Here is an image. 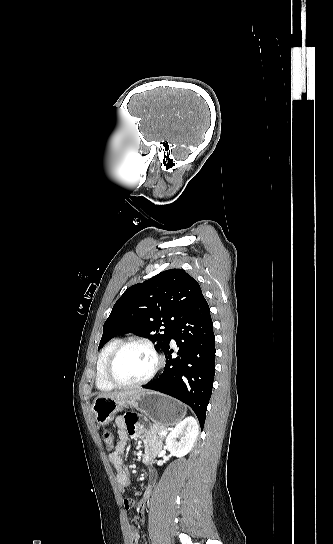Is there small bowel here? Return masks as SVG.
<instances>
[{"mask_svg": "<svg viewBox=\"0 0 333 544\" xmlns=\"http://www.w3.org/2000/svg\"><path fill=\"white\" fill-rule=\"evenodd\" d=\"M118 427V439L115 449L109 454L108 459L112 467L116 472V480L120 489H125L130 484L129 471L126 469L123 463V453L126 447V443L131 438H139L144 434V443L147 446V452L145 454V462H150L158 451V441L147 432L143 425L140 423L137 417L120 416L116 420ZM156 478V473L152 471L150 473V482L153 483ZM150 493V488H147L140 502L138 503L136 510L141 520L144 518L145 506ZM124 507L130 509L134 506L131 499L125 498L123 501ZM129 536L132 544H138L139 532L134 526H129Z\"/></svg>", "mask_w": 333, "mask_h": 544, "instance_id": "small-bowel-1", "label": "small bowel"}]
</instances>
